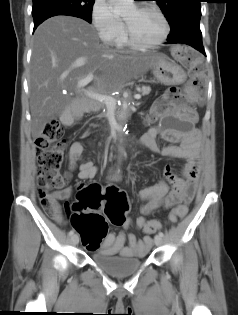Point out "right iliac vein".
Segmentation results:
<instances>
[{"instance_id":"1","label":"right iliac vein","mask_w":238,"mask_h":315,"mask_svg":"<svg viewBox=\"0 0 238 315\" xmlns=\"http://www.w3.org/2000/svg\"><path fill=\"white\" fill-rule=\"evenodd\" d=\"M71 240H72V243H73L74 245H77V244L79 243V235H78V234H74V235L72 236Z\"/></svg>"}]
</instances>
